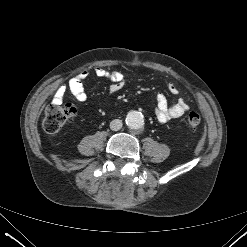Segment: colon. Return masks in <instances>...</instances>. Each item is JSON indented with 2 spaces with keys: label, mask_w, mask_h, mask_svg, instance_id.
Here are the masks:
<instances>
[{
  "label": "colon",
  "mask_w": 247,
  "mask_h": 247,
  "mask_svg": "<svg viewBox=\"0 0 247 247\" xmlns=\"http://www.w3.org/2000/svg\"><path fill=\"white\" fill-rule=\"evenodd\" d=\"M76 114V108L72 104L51 103L46 107L43 128L49 134L59 132L67 121ZM201 123V116L196 111H191L187 117V124L191 130H195Z\"/></svg>",
  "instance_id": "colon-1"
}]
</instances>
